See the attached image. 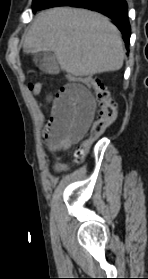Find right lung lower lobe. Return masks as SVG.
Instances as JSON below:
<instances>
[{
	"mask_svg": "<svg viewBox=\"0 0 148 279\" xmlns=\"http://www.w3.org/2000/svg\"><path fill=\"white\" fill-rule=\"evenodd\" d=\"M56 6L86 8L108 16L121 31L125 44L129 47L131 33L125 0H49L43 9Z\"/></svg>",
	"mask_w": 148,
	"mask_h": 279,
	"instance_id": "98d812e1",
	"label": "right lung lower lobe"
}]
</instances>
